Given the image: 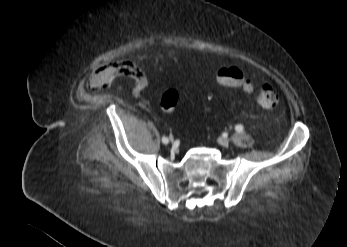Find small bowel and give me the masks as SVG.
I'll list each match as a JSON object with an SVG mask.
<instances>
[{"mask_svg":"<svg viewBox=\"0 0 347 247\" xmlns=\"http://www.w3.org/2000/svg\"><path fill=\"white\" fill-rule=\"evenodd\" d=\"M117 76H127L133 80L132 92L140 95L147 85L143 70L133 61L106 65L95 71L89 79V87L100 89Z\"/></svg>","mask_w":347,"mask_h":247,"instance_id":"c3829d8e","label":"small bowel"}]
</instances>
